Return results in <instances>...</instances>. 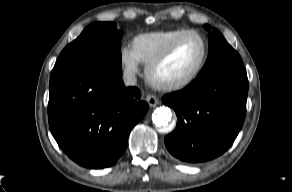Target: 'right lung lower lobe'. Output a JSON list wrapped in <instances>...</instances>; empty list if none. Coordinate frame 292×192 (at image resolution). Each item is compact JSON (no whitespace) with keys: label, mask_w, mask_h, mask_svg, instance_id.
Instances as JSON below:
<instances>
[{"label":"right lung lower lobe","mask_w":292,"mask_h":192,"mask_svg":"<svg viewBox=\"0 0 292 192\" xmlns=\"http://www.w3.org/2000/svg\"><path fill=\"white\" fill-rule=\"evenodd\" d=\"M49 90L51 133L73 161L87 168L113 165L148 110L138 88L124 86L121 68L101 58H58Z\"/></svg>","instance_id":"98d812e1"}]
</instances>
